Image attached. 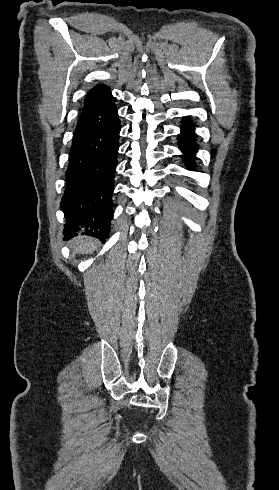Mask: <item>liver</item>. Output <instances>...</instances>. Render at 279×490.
Returning a JSON list of instances; mask_svg holds the SVG:
<instances>
[{
    "label": "liver",
    "instance_id": "obj_1",
    "mask_svg": "<svg viewBox=\"0 0 279 490\" xmlns=\"http://www.w3.org/2000/svg\"><path fill=\"white\" fill-rule=\"evenodd\" d=\"M69 244L71 248H74V252H78V254H89L90 250L91 252L95 250V244H97V242L94 238L79 236V238H73Z\"/></svg>",
    "mask_w": 279,
    "mask_h": 490
}]
</instances>
